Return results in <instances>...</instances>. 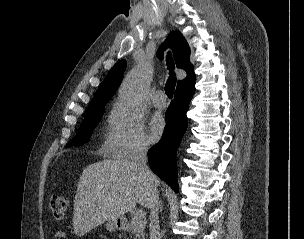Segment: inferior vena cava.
Wrapping results in <instances>:
<instances>
[{
	"instance_id": "inferior-vena-cava-1",
	"label": "inferior vena cava",
	"mask_w": 304,
	"mask_h": 239,
	"mask_svg": "<svg viewBox=\"0 0 304 239\" xmlns=\"http://www.w3.org/2000/svg\"><path fill=\"white\" fill-rule=\"evenodd\" d=\"M147 151L148 144L144 141L139 142L131 154L130 161L138 169L150 191V239H160L158 180L147 166Z\"/></svg>"
}]
</instances>
